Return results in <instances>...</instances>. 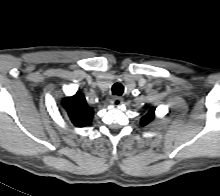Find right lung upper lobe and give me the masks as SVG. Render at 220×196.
Returning a JSON list of instances; mask_svg holds the SVG:
<instances>
[{
	"label": "right lung upper lobe",
	"mask_w": 220,
	"mask_h": 196,
	"mask_svg": "<svg viewBox=\"0 0 220 196\" xmlns=\"http://www.w3.org/2000/svg\"><path fill=\"white\" fill-rule=\"evenodd\" d=\"M63 107L76 127L90 125L93 118V109L87 105L83 94L77 92L74 96L65 98Z\"/></svg>",
	"instance_id": "obj_1"
}]
</instances>
